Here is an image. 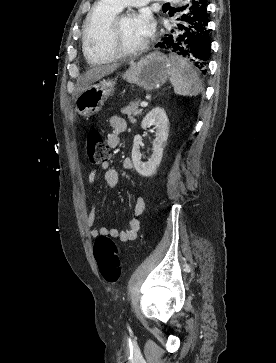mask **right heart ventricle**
<instances>
[{
    "label": "right heart ventricle",
    "instance_id": "1",
    "mask_svg": "<svg viewBox=\"0 0 276 363\" xmlns=\"http://www.w3.org/2000/svg\"><path fill=\"white\" fill-rule=\"evenodd\" d=\"M120 9L111 0H100L87 16L83 29V52L90 63L104 64L116 59L107 49L106 39L108 27Z\"/></svg>",
    "mask_w": 276,
    "mask_h": 363
}]
</instances>
